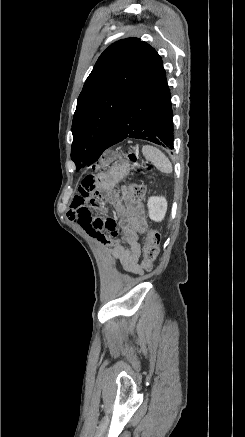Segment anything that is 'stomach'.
Listing matches in <instances>:
<instances>
[{
  "instance_id": "stomach-1",
  "label": "stomach",
  "mask_w": 245,
  "mask_h": 437,
  "mask_svg": "<svg viewBox=\"0 0 245 437\" xmlns=\"http://www.w3.org/2000/svg\"><path fill=\"white\" fill-rule=\"evenodd\" d=\"M130 171V163L128 160H122L120 162H116L108 174L106 175V184L114 185L128 175Z\"/></svg>"
}]
</instances>
